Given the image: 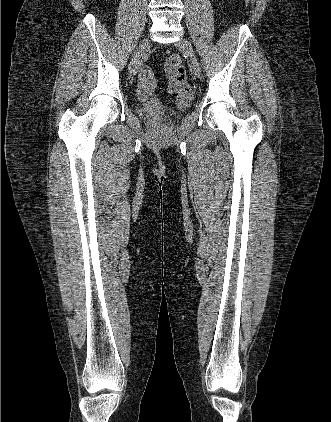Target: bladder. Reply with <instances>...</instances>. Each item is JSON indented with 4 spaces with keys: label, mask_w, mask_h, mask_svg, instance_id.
Listing matches in <instances>:
<instances>
[{
    "label": "bladder",
    "mask_w": 331,
    "mask_h": 422,
    "mask_svg": "<svg viewBox=\"0 0 331 422\" xmlns=\"http://www.w3.org/2000/svg\"><path fill=\"white\" fill-rule=\"evenodd\" d=\"M185 107L181 108L184 109ZM138 113L152 124H161L174 119V114L165 109L161 104L152 100L146 106L138 108Z\"/></svg>",
    "instance_id": "31cf9c89"
}]
</instances>
